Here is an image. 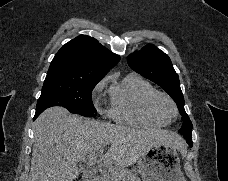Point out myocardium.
<instances>
[{"label":"myocardium","mask_w":228,"mask_h":181,"mask_svg":"<svg viewBox=\"0 0 228 181\" xmlns=\"http://www.w3.org/2000/svg\"><path fill=\"white\" fill-rule=\"evenodd\" d=\"M148 109L155 116H170L175 113L172 101L166 96L157 95L148 102Z\"/></svg>","instance_id":"myocardium-1"}]
</instances>
